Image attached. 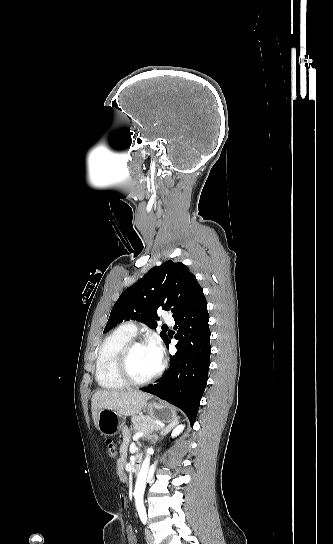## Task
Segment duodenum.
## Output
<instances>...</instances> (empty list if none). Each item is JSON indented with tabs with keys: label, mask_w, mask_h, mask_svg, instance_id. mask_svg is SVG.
<instances>
[{
	"label": "duodenum",
	"mask_w": 333,
	"mask_h": 544,
	"mask_svg": "<svg viewBox=\"0 0 333 544\" xmlns=\"http://www.w3.org/2000/svg\"><path fill=\"white\" fill-rule=\"evenodd\" d=\"M141 466H142V456L141 455H137L135 457V460L133 462V466H132V472L134 474H137L140 469H141Z\"/></svg>",
	"instance_id": "1"
}]
</instances>
